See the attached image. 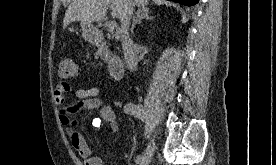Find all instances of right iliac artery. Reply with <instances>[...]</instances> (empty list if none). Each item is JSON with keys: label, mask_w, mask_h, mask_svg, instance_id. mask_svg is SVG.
I'll list each match as a JSON object with an SVG mask.
<instances>
[{"label": "right iliac artery", "mask_w": 276, "mask_h": 165, "mask_svg": "<svg viewBox=\"0 0 276 165\" xmlns=\"http://www.w3.org/2000/svg\"><path fill=\"white\" fill-rule=\"evenodd\" d=\"M124 110L127 114H130V115H134V117H137L139 119H142V109L137 106V105H134V104H127L125 107H124ZM142 156L141 155H138L136 157V163L138 164L141 160Z\"/></svg>", "instance_id": "82829eb1"}]
</instances>
